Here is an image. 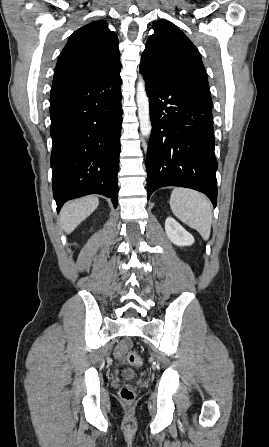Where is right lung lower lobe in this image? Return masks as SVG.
<instances>
[{
	"label": "right lung lower lobe",
	"mask_w": 269,
	"mask_h": 447,
	"mask_svg": "<svg viewBox=\"0 0 269 447\" xmlns=\"http://www.w3.org/2000/svg\"><path fill=\"white\" fill-rule=\"evenodd\" d=\"M121 83L119 71L101 81L51 89V167L58 212L67 200L88 194H102L117 206Z\"/></svg>",
	"instance_id": "1"
}]
</instances>
